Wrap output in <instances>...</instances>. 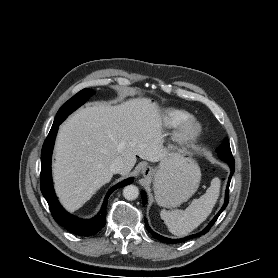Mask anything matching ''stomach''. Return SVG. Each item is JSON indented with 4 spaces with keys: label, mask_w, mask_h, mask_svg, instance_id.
Returning a JSON list of instances; mask_svg holds the SVG:
<instances>
[{
    "label": "stomach",
    "mask_w": 278,
    "mask_h": 278,
    "mask_svg": "<svg viewBox=\"0 0 278 278\" xmlns=\"http://www.w3.org/2000/svg\"><path fill=\"white\" fill-rule=\"evenodd\" d=\"M152 173L155 199L164 207L187 201L197 191L201 179L198 164L181 151L165 154Z\"/></svg>",
    "instance_id": "1"
}]
</instances>
